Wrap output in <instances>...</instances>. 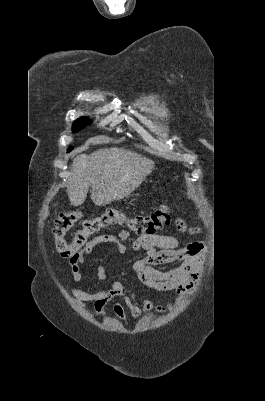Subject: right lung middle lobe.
Returning <instances> with one entry per match:
<instances>
[{
	"label": "right lung middle lobe",
	"instance_id": "right-lung-middle-lobe-1",
	"mask_svg": "<svg viewBox=\"0 0 265 401\" xmlns=\"http://www.w3.org/2000/svg\"><path fill=\"white\" fill-rule=\"evenodd\" d=\"M91 124V120L87 117H81L79 119H77L76 121H74L73 125H72V131L78 132L81 129H83L85 126ZM72 148H70L68 151H71Z\"/></svg>",
	"mask_w": 265,
	"mask_h": 401
}]
</instances>
